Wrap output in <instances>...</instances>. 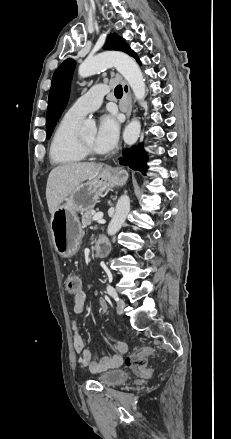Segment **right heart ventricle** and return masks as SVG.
Returning <instances> with one entry per match:
<instances>
[{
	"label": "right heart ventricle",
	"instance_id": "obj_1",
	"mask_svg": "<svg viewBox=\"0 0 231 439\" xmlns=\"http://www.w3.org/2000/svg\"><path fill=\"white\" fill-rule=\"evenodd\" d=\"M79 123L80 119L65 115L57 125L49 147V157L53 164L71 166L86 158L77 141Z\"/></svg>",
	"mask_w": 231,
	"mask_h": 439
}]
</instances>
